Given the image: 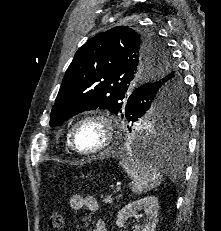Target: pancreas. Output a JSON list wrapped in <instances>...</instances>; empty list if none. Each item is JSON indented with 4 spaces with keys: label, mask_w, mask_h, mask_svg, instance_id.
Instances as JSON below:
<instances>
[{
    "label": "pancreas",
    "mask_w": 221,
    "mask_h": 231,
    "mask_svg": "<svg viewBox=\"0 0 221 231\" xmlns=\"http://www.w3.org/2000/svg\"><path fill=\"white\" fill-rule=\"evenodd\" d=\"M116 199H118V197H116ZM113 200H114V197H112L111 195H107V196L103 197V202H105V203L112 204Z\"/></svg>",
    "instance_id": "pancreas-1"
}]
</instances>
